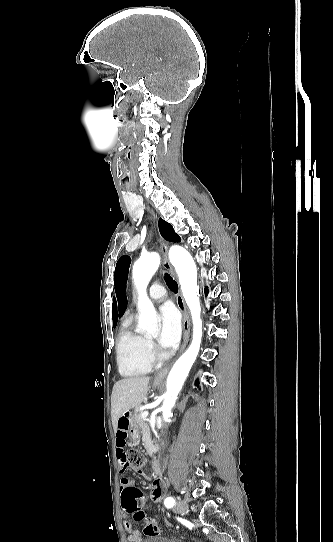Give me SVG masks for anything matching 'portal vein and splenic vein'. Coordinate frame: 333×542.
Returning a JSON list of instances; mask_svg holds the SVG:
<instances>
[{
  "mask_svg": "<svg viewBox=\"0 0 333 542\" xmlns=\"http://www.w3.org/2000/svg\"><path fill=\"white\" fill-rule=\"evenodd\" d=\"M147 416H149V412H142L141 414L142 420H146Z\"/></svg>",
  "mask_w": 333,
  "mask_h": 542,
  "instance_id": "18ae733b",
  "label": "portal vein and splenic vein"
}]
</instances>
